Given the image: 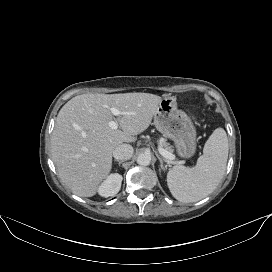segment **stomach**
I'll use <instances>...</instances> for the list:
<instances>
[{
    "mask_svg": "<svg viewBox=\"0 0 272 272\" xmlns=\"http://www.w3.org/2000/svg\"><path fill=\"white\" fill-rule=\"evenodd\" d=\"M154 125L165 137L174 141L177 153L190 158L196 151V129L191 118L177 108L176 98L164 97L154 114Z\"/></svg>",
    "mask_w": 272,
    "mask_h": 272,
    "instance_id": "0dacf381",
    "label": "stomach"
}]
</instances>
